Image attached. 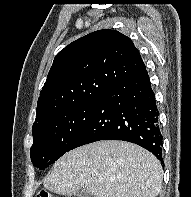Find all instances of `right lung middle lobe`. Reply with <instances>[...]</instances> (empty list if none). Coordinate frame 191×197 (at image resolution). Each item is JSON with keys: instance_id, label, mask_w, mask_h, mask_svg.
Returning a JSON list of instances; mask_svg holds the SVG:
<instances>
[{"instance_id": "dd1d6c3e", "label": "right lung middle lobe", "mask_w": 191, "mask_h": 197, "mask_svg": "<svg viewBox=\"0 0 191 197\" xmlns=\"http://www.w3.org/2000/svg\"><path fill=\"white\" fill-rule=\"evenodd\" d=\"M97 101L78 104L41 120L32 127L34 143L30 148L31 161L45 169L66 153L84 125L92 116Z\"/></svg>"}]
</instances>
